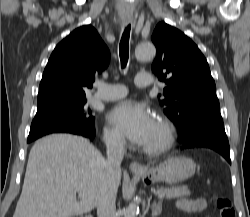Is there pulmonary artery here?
Instances as JSON below:
<instances>
[{
    "label": "pulmonary artery",
    "instance_id": "e3ab8cb5",
    "mask_svg": "<svg viewBox=\"0 0 250 217\" xmlns=\"http://www.w3.org/2000/svg\"><path fill=\"white\" fill-rule=\"evenodd\" d=\"M135 85L139 88H146L152 84V77L149 73H139L135 78ZM127 95V88L122 84L97 83L96 92L93 97L103 101L121 99Z\"/></svg>",
    "mask_w": 250,
    "mask_h": 217
}]
</instances>
